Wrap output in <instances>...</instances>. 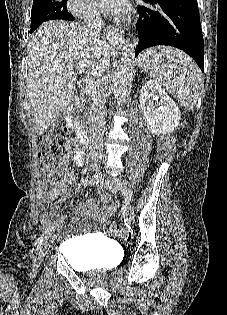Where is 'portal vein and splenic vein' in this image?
Instances as JSON below:
<instances>
[{
    "instance_id": "portal-vein-and-splenic-vein-1",
    "label": "portal vein and splenic vein",
    "mask_w": 227,
    "mask_h": 315,
    "mask_svg": "<svg viewBox=\"0 0 227 315\" xmlns=\"http://www.w3.org/2000/svg\"><path fill=\"white\" fill-rule=\"evenodd\" d=\"M77 69H78L80 74H87L86 64H84V63L79 64ZM86 83L88 84V85H86V91L90 92L91 89H92L91 84L93 83V80L91 78L87 77L86 78Z\"/></svg>"
}]
</instances>
